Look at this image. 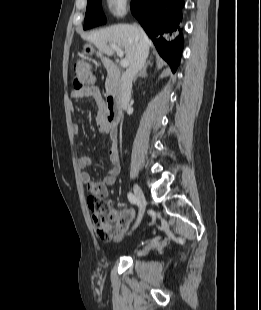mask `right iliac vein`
<instances>
[{
  "label": "right iliac vein",
  "instance_id": "1",
  "mask_svg": "<svg viewBox=\"0 0 261 310\" xmlns=\"http://www.w3.org/2000/svg\"><path fill=\"white\" fill-rule=\"evenodd\" d=\"M133 190H134L136 201L139 205V214H138L137 221L134 225V228H136L139 225V223L141 222L142 217L144 215L145 208H146V199H145L144 193H143L142 189L140 188V186L135 184L133 187Z\"/></svg>",
  "mask_w": 261,
  "mask_h": 310
}]
</instances>
